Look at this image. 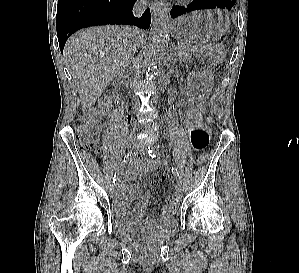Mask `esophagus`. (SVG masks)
<instances>
[{"instance_id":"34e87169","label":"esophagus","mask_w":299,"mask_h":273,"mask_svg":"<svg viewBox=\"0 0 299 273\" xmlns=\"http://www.w3.org/2000/svg\"><path fill=\"white\" fill-rule=\"evenodd\" d=\"M163 5L159 2H153L150 5L151 13L155 16L159 11L162 10Z\"/></svg>"}]
</instances>
